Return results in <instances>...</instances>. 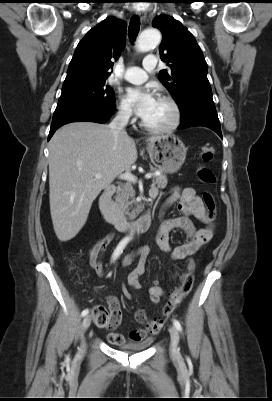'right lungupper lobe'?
<instances>
[{
  "instance_id": "obj_1",
  "label": "right lung upper lobe",
  "mask_w": 272,
  "mask_h": 401,
  "mask_svg": "<svg viewBox=\"0 0 272 401\" xmlns=\"http://www.w3.org/2000/svg\"><path fill=\"white\" fill-rule=\"evenodd\" d=\"M125 42L126 24L115 17L88 31L74 52L62 90L106 80Z\"/></svg>"
}]
</instances>
